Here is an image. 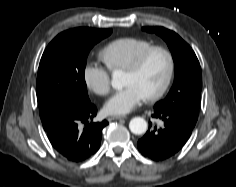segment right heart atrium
Listing matches in <instances>:
<instances>
[{"label": "right heart atrium", "mask_w": 236, "mask_h": 187, "mask_svg": "<svg viewBox=\"0 0 236 187\" xmlns=\"http://www.w3.org/2000/svg\"><path fill=\"white\" fill-rule=\"evenodd\" d=\"M83 80L85 85L98 95H106L111 88L109 71L102 65L91 62L83 69Z\"/></svg>", "instance_id": "obj_1"}]
</instances>
